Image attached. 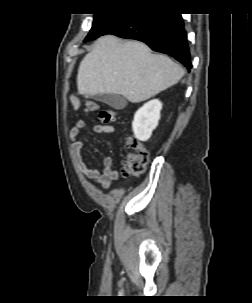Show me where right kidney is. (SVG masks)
<instances>
[{"label":"right kidney","mask_w":252,"mask_h":303,"mask_svg":"<svg viewBox=\"0 0 252 303\" xmlns=\"http://www.w3.org/2000/svg\"><path fill=\"white\" fill-rule=\"evenodd\" d=\"M162 103L153 99L145 103L134 115L132 128L135 137L140 141H147L160 120Z\"/></svg>","instance_id":"1"}]
</instances>
